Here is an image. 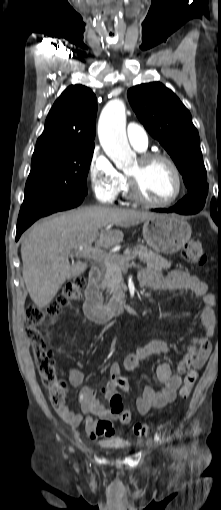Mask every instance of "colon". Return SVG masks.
<instances>
[{"label": "colon", "instance_id": "5ec220e1", "mask_svg": "<svg viewBox=\"0 0 221 510\" xmlns=\"http://www.w3.org/2000/svg\"><path fill=\"white\" fill-rule=\"evenodd\" d=\"M181 256L185 261L196 265H204L207 261L205 250L200 242L195 239H191L186 243ZM84 287L85 279L76 277L65 284L61 295L54 303L46 308L30 306L26 311L28 324L26 334L31 341L36 369L42 382L49 390L50 404L56 410H64L67 406L66 384L57 376L49 340L39 327L46 322L47 318L59 316L64 310L70 308L74 302L78 301ZM196 380L197 373L194 370L186 373L179 392L181 399L185 400L190 396ZM114 381L118 387H124L125 385L122 376L115 377ZM110 405L119 413L122 423L130 421V412L122 408V399L119 393L110 398ZM133 431L136 436L142 437L149 433L150 427L145 423H137L134 425Z\"/></svg>", "mask_w": 221, "mask_h": 510}]
</instances>
